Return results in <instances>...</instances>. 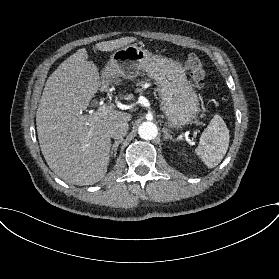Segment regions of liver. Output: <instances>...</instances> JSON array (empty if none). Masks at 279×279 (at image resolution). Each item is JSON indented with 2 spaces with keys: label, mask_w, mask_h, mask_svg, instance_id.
I'll use <instances>...</instances> for the list:
<instances>
[{
  "label": "liver",
  "mask_w": 279,
  "mask_h": 279,
  "mask_svg": "<svg viewBox=\"0 0 279 279\" xmlns=\"http://www.w3.org/2000/svg\"><path fill=\"white\" fill-rule=\"evenodd\" d=\"M136 40L122 37L96 43L95 48L113 51ZM117 74L105 66L100 77L86 49L81 48L45 83L36 112L39 145L49 168L67 183L93 185L105 177L112 146L108 130L117 122L130 121L132 115L118 110L102 117L82 112L101 86L121 82Z\"/></svg>",
  "instance_id": "6515ba94"
}]
</instances>
